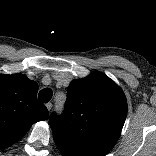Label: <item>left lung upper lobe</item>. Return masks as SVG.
I'll return each mask as SVG.
<instances>
[{
    "instance_id": "left-lung-upper-lobe-1",
    "label": "left lung upper lobe",
    "mask_w": 156,
    "mask_h": 156,
    "mask_svg": "<svg viewBox=\"0 0 156 156\" xmlns=\"http://www.w3.org/2000/svg\"><path fill=\"white\" fill-rule=\"evenodd\" d=\"M127 115L123 91L101 72L74 80L62 116H50L54 139L91 156H104L116 144Z\"/></svg>"
}]
</instances>
